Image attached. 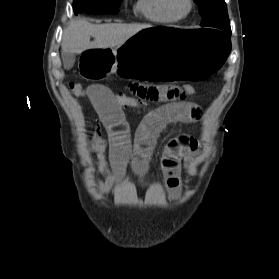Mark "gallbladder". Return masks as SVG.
<instances>
[{"instance_id": "bac80fb5", "label": "gallbladder", "mask_w": 279, "mask_h": 279, "mask_svg": "<svg viewBox=\"0 0 279 279\" xmlns=\"http://www.w3.org/2000/svg\"><path fill=\"white\" fill-rule=\"evenodd\" d=\"M75 54L74 53H67V52H62V61L64 68L69 70L74 66L75 63Z\"/></svg>"}]
</instances>
